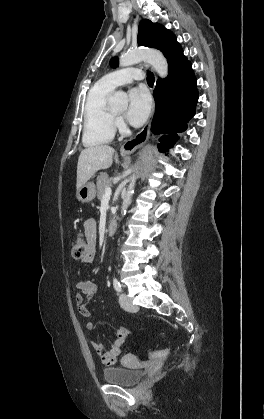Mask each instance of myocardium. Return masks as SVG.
<instances>
[{
	"mask_svg": "<svg viewBox=\"0 0 264 419\" xmlns=\"http://www.w3.org/2000/svg\"><path fill=\"white\" fill-rule=\"evenodd\" d=\"M112 113H113V115H114L115 117L117 116V113H116V112L112 111Z\"/></svg>",
	"mask_w": 264,
	"mask_h": 419,
	"instance_id": "obj_1",
	"label": "myocardium"
}]
</instances>
